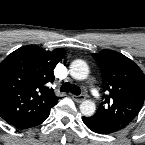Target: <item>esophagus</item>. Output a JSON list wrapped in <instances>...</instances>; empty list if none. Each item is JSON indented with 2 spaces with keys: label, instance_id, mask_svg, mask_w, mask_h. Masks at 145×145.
<instances>
[{
  "label": "esophagus",
  "instance_id": "obj_1",
  "mask_svg": "<svg viewBox=\"0 0 145 145\" xmlns=\"http://www.w3.org/2000/svg\"><path fill=\"white\" fill-rule=\"evenodd\" d=\"M72 97H73V99H74L77 103H80V102H82V101L85 100V96H84V95H73Z\"/></svg>",
  "mask_w": 145,
  "mask_h": 145
}]
</instances>
